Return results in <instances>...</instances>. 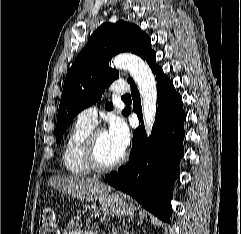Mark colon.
I'll return each instance as SVG.
<instances>
[{
  "label": "colon",
  "mask_w": 241,
  "mask_h": 234,
  "mask_svg": "<svg viewBox=\"0 0 241 234\" xmlns=\"http://www.w3.org/2000/svg\"><path fill=\"white\" fill-rule=\"evenodd\" d=\"M37 234H57L56 218L51 208H45L41 212Z\"/></svg>",
  "instance_id": "5ec220e1"
}]
</instances>
